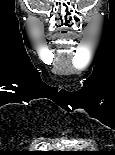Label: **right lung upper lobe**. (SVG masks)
I'll use <instances>...</instances> for the list:
<instances>
[{
	"mask_svg": "<svg viewBox=\"0 0 115 155\" xmlns=\"http://www.w3.org/2000/svg\"><path fill=\"white\" fill-rule=\"evenodd\" d=\"M35 155H52V153L48 151H36Z\"/></svg>",
	"mask_w": 115,
	"mask_h": 155,
	"instance_id": "right-lung-upper-lobe-1",
	"label": "right lung upper lobe"
}]
</instances>
